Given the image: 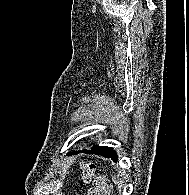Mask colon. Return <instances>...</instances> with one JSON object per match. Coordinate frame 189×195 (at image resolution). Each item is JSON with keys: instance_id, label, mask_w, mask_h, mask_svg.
Listing matches in <instances>:
<instances>
[{"instance_id": "5ec220e1", "label": "colon", "mask_w": 189, "mask_h": 195, "mask_svg": "<svg viewBox=\"0 0 189 195\" xmlns=\"http://www.w3.org/2000/svg\"><path fill=\"white\" fill-rule=\"evenodd\" d=\"M90 168L83 167V175L82 178L84 181H90ZM105 190V181L102 179H98L95 181V186L90 190V195H102Z\"/></svg>"}]
</instances>
